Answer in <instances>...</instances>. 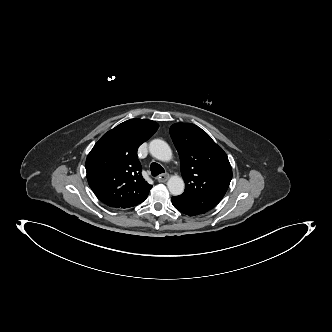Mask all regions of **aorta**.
Masks as SVG:
<instances>
[{"label":"aorta","instance_id":"aorta-1","mask_svg":"<svg viewBox=\"0 0 332 332\" xmlns=\"http://www.w3.org/2000/svg\"><path fill=\"white\" fill-rule=\"evenodd\" d=\"M150 154L160 161H170L172 159V151L169 145L161 140L154 139L149 143ZM167 187L173 196L181 195L184 192L185 184L181 177L174 175L167 182Z\"/></svg>","mask_w":332,"mask_h":332}]
</instances>
